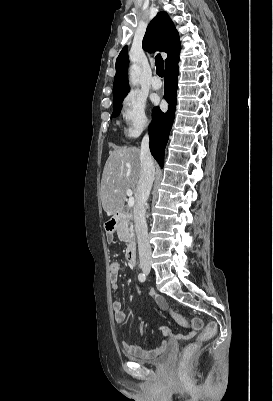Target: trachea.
<instances>
[{
    "mask_svg": "<svg viewBox=\"0 0 273 401\" xmlns=\"http://www.w3.org/2000/svg\"><path fill=\"white\" fill-rule=\"evenodd\" d=\"M156 72L159 77L164 76V61L160 54L155 57Z\"/></svg>",
    "mask_w": 273,
    "mask_h": 401,
    "instance_id": "trachea-1",
    "label": "trachea"
}]
</instances>
